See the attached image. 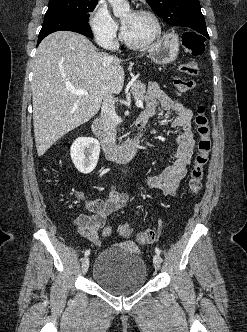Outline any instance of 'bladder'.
Segmentation results:
<instances>
[{"instance_id": "bladder-1", "label": "bladder", "mask_w": 247, "mask_h": 332, "mask_svg": "<svg viewBox=\"0 0 247 332\" xmlns=\"http://www.w3.org/2000/svg\"><path fill=\"white\" fill-rule=\"evenodd\" d=\"M147 266L128 243L114 244L102 250L93 266V279L113 295H130L147 283Z\"/></svg>"}]
</instances>
